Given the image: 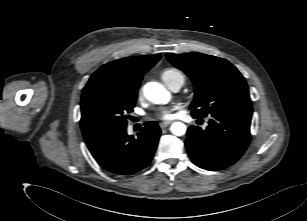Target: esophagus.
I'll list each match as a JSON object with an SVG mask.
<instances>
[{
    "mask_svg": "<svg viewBox=\"0 0 307 221\" xmlns=\"http://www.w3.org/2000/svg\"><path fill=\"white\" fill-rule=\"evenodd\" d=\"M172 122L171 121H165V122H161L159 125H160V128H166L168 125H170Z\"/></svg>",
    "mask_w": 307,
    "mask_h": 221,
    "instance_id": "esophagus-1",
    "label": "esophagus"
}]
</instances>
